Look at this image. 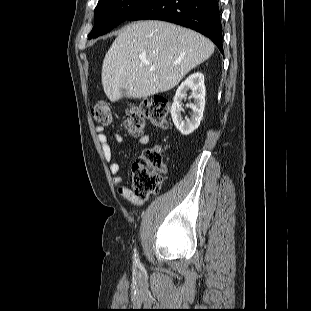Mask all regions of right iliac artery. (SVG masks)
Segmentation results:
<instances>
[{
	"instance_id": "82829eb1",
	"label": "right iliac artery",
	"mask_w": 311,
	"mask_h": 311,
	"mask_svg": "<svg viewBox=\"0 0 311 311\" xmlns=\"http://www.w3.org/2000/svg\"><path fill=\"white\" fill-rule=\"evenodd\" d=\"M138 261H139V259H138V254L136 253V249L134 250V262L136 263V264H138Z\"/></svg>"
}]
</instances>
